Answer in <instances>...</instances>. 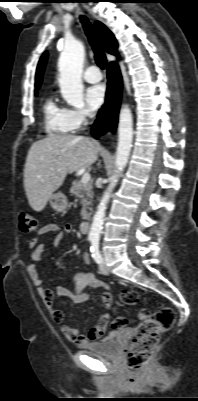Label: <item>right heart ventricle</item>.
Listing matches in <instances>:
<instances>
[{
  "label": "right heart ventricle",
  "instance_id": "obj_1",
  "mask_svg": "<svg viewBox=\"0 0 198 401\" xmlns=\"http://www.w3.org/2000/svg\"><path fill=\"white\" fill-rule=\"evenodd\" d=\"M44 126L50 135H67L73 132L68 108L57 103L50 95L45 98L42 105Z\"/></svg>",
  "mask_w": 198,
  "mask_h": 401
}]
</instances>
